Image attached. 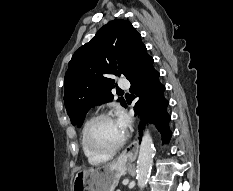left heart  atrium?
Listing matches in <instances>:
<instances>
[{
    "instance_id": "39dd6f15",
    "label": "left heart atrium",
    "mask_w": 233,
    "mask_h": 191,
    "mask_svg": "<svg viewBox=\"0 0 233 191\" xmlns=\"http://www.w3.org/2000/svg\"><path fill=\"white\" fill-rule=\"evenodd\" d=\"M123 133L125 134L128 126H129V120L127 116L124 113H119L117 118L115 119Z\"/></svg>"
}]
</instances>
